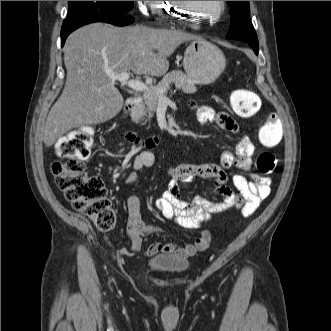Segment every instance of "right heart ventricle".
<instances>
[{
  "label": "right heart ventricle",
  "instance_id": "e07e8e85",
  "mask_svg": "<svg viewBox=\"0 0 331 331\" xmlns=\"http://www.w3.org/2000/svg\"><path fill=\"white\" fill-rule=\"evenodd\" d=\"M155 11L161 18L166 19L168 14L174 12V3L173 1H158Z\"/></svg>",
  "mask_w": 331,
  "mask_h": 331
}]
</instances>
